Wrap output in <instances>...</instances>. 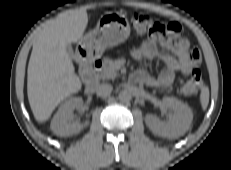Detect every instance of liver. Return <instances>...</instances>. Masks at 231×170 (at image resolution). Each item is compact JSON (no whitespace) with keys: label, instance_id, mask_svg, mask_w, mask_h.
Here are the masks:
<instances>
[{"label":"liver","instance_id":"1","mask_svg":"<svg viewBox=\"0 0 231 170\" xmlns=\"http://www.w3.org/2000/svg\"><path fill=\"white\" fill-rule=\"evenodd\" d=\"M88 24L85 8L50 20L37 34L27 71L28 100L38 122L48 120L58 104L82 88L66 45L82 39Z\"/></svg>","mask_w":231,"mask_h":170}]
</instances>
